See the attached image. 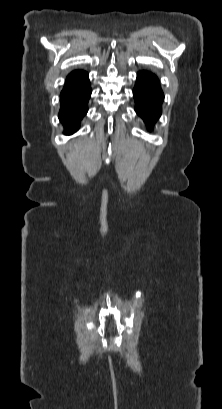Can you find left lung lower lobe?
Segmentation results:
<instances>
[{
	"mask_svg": "<svg viewBox=\"0 0 222 409\" xmlns=\"http://www.w3.org/2000/svg\"><path fill=\"white\" fill-rule=\"evenodd\" d=\"M133 95L138 115L148 125L154 124L161 114V103L164 99L157 77L150 72H139Z\"/></svg>",
	"mask_w": 222,
	"mask_h": 409,
	"instance_id": "left-lung-lower-lobe-1",
	"label": "left lung lower lobe"
}]
</instances>
